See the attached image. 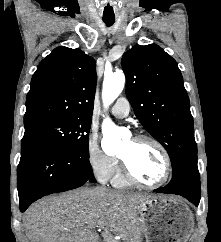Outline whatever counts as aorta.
<instances>
[{
	"instance_id": "1",
	"label": "aorta",
	"mask_w": 221,
	"mask_h": 242,
	"mask_svg": "<svg viewBox=\"0 0 221 242\" xmlns=\"http://www.w3.org/2000/svg\"><path fill=\"white\" fill-rule=\"evenodd\" d=\"M125 85V75L122 71L106 75L103 82L102 100L104 106H110L120 95ZM102 148L106 153H115L122 144L121 130L110 120L105 119L102 125Z\"/></svg>"
}]
</instances>
